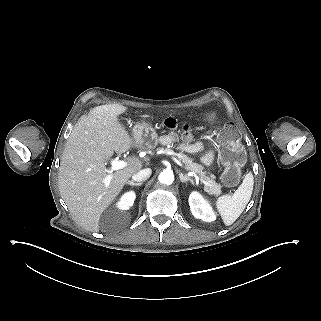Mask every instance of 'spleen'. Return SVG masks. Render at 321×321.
I'll list each match as a JSON object with an SVG mask.
<instances>
[{"label":"spleen","instance_id":"1","mask_svg":"<svg viewBox=\"0 0 321 321\" xmlns=\"http://www.w3.org/2000/svg\"><path fill=\"white\" fill-rule=\"evenodd\" d=\"M254 178L251 172L245 175L242 184L233 195H223L216 201V207L226 226L232 225L250 201Z\"/></svg>","mask_w":321,"mask_h":321}]
</instances>
